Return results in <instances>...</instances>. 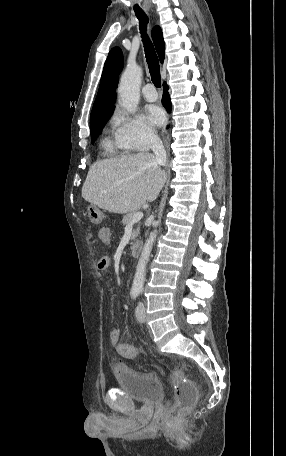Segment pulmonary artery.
Here are the masks:
<instances>
[{"mask_svg": "<svg viewBox=\"0 0 286 456\" xmlns=\"http://www.w3.org/2000/svg\"><path fill=\"white\" fill-rule=\"evenodd\" d=\"M142 96L146 101L153 102L157 100V92L152 84H146L142 88Z\"/></svg>", "mask_w": 286, "mask_h": 456, "instance_id": "obj_1", "label": "pulmonary artery"}]
</instances>
